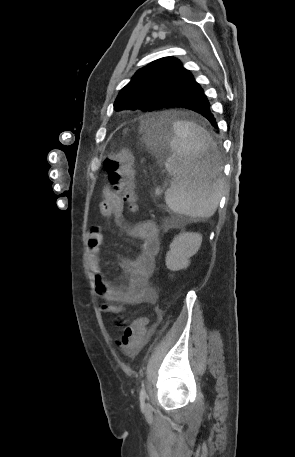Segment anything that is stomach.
<instances>
[{
  "label": "stomach",
  "mask_w": 295,
  "mask_h": 457,
  "mask_svg": "<svg viewBox=\"0 0 295 457\" xmlns=\"http://www.w3.org/2000/svg\"><path fill=\"white\" fill-rule=\"evenodd\" d=\"M145 141L150 145L161 144L170 153V143L175 138L174 123L168 120L148 119L142 129Z\"/></svg>",
  "instance_id": "stomach-1"
}]
</instances>
